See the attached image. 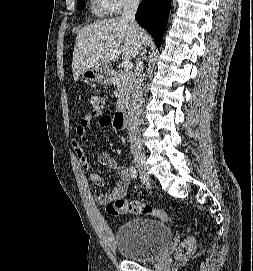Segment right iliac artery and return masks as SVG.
Masks as SVG:
<instances>
[{
	"instance_id": "1",
	"label": "right iliac artery",
	"mask_w": 253,
	"mask_h": 271,
	"mask_svg": "<svg viewBox=\"0 0 253 271\" xmlns=\"http://www.w3.org/2000/svg\"><path fill=\"white\" fill-rule=\"evenodd\" d=\"M130 174H131V177L136 179L137 178V170L134 166H131L130 167Z\"/></svg>"
}]
</instances>
